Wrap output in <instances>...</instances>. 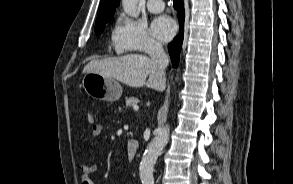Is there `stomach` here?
Wrapping results in <instances>:
<instances>
[{"label": "stomach", "instance_id": "0dacf381", "mask_svg": "<svg viewBox=\"0 0 293 184\" xmlns=\"http://www.w3.org/2000/svg\"><path fill=\"white\" fill-rule=\"evenodd\" d=\"M82 85L86 93L97 100L114 102L122 95V87L116 79L98 73H85Z\"/></svg>", "mask_w": 293, "mask_h": 184}]
</instances>
